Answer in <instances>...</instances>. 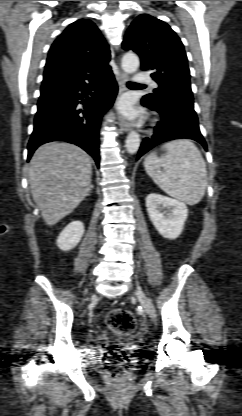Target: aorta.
<instances>
[{
	"label": "aorta",
	"instance_id": "1",
	"mask_svg": "<svg viewBox=\"0 0 242 416\" xmlns=\"http://www.w3.org/2000/svg\"><path fill=\"white\" fill-rule=\"evenodd\" d=\"M139 65L140 61L136 54L132 52L124 54L121 62V66L124 72L128 74H133L138 70ZM140 142V135L135 131L130 132L127 136L125 144L127 151L130 154L136 153L140 147Z\"/></svg>",
	"mask_w": 242,
	"mask_h": 416
}]
</instances>
